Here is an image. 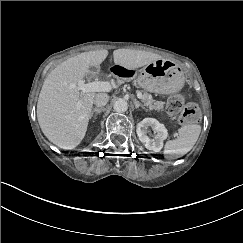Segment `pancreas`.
I'll return each mask as SVG.
<instances>
[{
  "label": "pancreas",
  "instance_id": "cf45deb5",
  "mask_svg": "<svg viewBox=\"0 0 243 243\" xmlns=\"http://www.w3.org/2000/svg\"><path fill=\"white\" fill-rule=\"evenodd\" d=\"M142 102L148 106L150 109H155V110H163L164 108V102L162 101H155L152 98H142Z\"/></svg>",
  "mask_w": 243,
  "mask_h": 243
}]
</instances>
